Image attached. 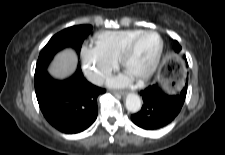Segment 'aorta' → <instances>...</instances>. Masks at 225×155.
<instances>
[{
  "label": "aorta",
  "mask_w": 225,
  "mask_h": 155,
  "mask_svg": "<svg viewBox=\"0 0 225 155\" xmlns=\"http://www.w3.org/2000/svg\"><path fill=\"white\" fill-rule=\"evenodd\" d=\"M126 109L129 112L136 113L141 109V99L137 94L130 93L126 97Z\"/></svg>",
  "instance_id": "aorta-1"
}]
</instances>
